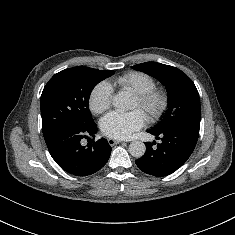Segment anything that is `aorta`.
I'll return each instance as SVG.
<instances>
[{
    "instance_id": "aorta-1",
    "label": "aorta",
    "mask_w": 235,
    "mask_h": 235,
    "mask_svg": "<svg viewBox=\"0 0 235 235\" xmlns=\"http://www.w3.org/2000/svg\"><path fill=\"white\" fill-rule=\"evenodd\" d=\"M129 99L126 94L119 93L112 98V105L119 110L128 108ZM146 152V146L141 141H133L129 145V153L135 158H141Z\"/></svg>"
}]
</instances>
